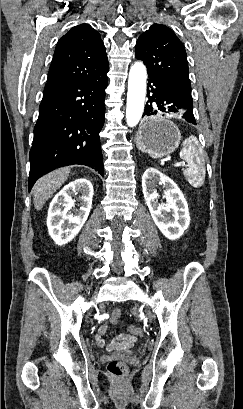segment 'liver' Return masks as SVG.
I'll return each mask as SVG.
<instances>
[{"label":"liver","mask_w":243,"mask_h":409,"mask_svg":"<svg viewBox=\"0 0 243 409\" xmlns=\"http://www.w3.org/2000/svg\"><path fill=\"white\" fill-rule=\"evenodd\" d=\"M70 173L68 167L57 169L40 178L33 187L34 206L36 210H41L46 201L59 189L67 180Z\"/></svg>","instance_id":"liver-1"}]
</instances>
